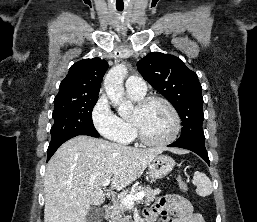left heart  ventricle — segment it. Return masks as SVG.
Segmentation results:
<instances>
[{
    "mask_svg": "<svg viewBox=\"0 0 257 222\" xmlns=\"http://www.w3.org/2000/svg\"><path fill=\"white\" fill-rule=\"evenodd\" d=\"M135 114V111L133 112ZM143 134L152 141L169 137L174 128L173 117L168 108L159 102L150 104L137 115Z\"/></svg>",
    "mask_w": 257,
    "mask_h": 222,
    "instance_id": "obj_1",
    "label": "left heart ventricle"
}]
</instances>
